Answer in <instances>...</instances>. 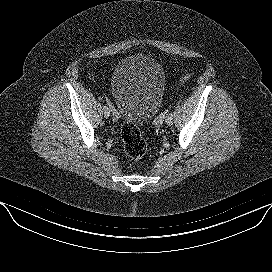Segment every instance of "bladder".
Instances as JSON below:
<instances>
[{
    "mask_svg": "<svg viewBox=\"0 0 272 272\" xmlns=\"http://www.w3.org/2000/svg\"><path fill=\"white\" fill-rule=\"evenodd\" d=\"M165 86L162 65L148 55H134L123 59L114 69L111 93L122 118L137 124L156 115Z\"/></svg>",
    "mask_w": 272,
    "mask_h": 272,
    "instance_id": "31cf9c89",
    "label": "bladder"
}]
</instances>
